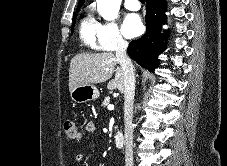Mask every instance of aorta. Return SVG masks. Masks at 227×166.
Here are the masks:
<instances>
[{
  "mask_svg": "<svg viewBox=\"0 0 227 166\" xmlns=\"http://www.w3.org/2000/svg\"><path fill=\"white\" fill-rule=\"evenodd\" d=\"M99 14L107 21L117 18L121 0H96Z\"/></svg>",
  "mask_w": 227,
  "mask_h": 166,
  "instance_id": "762f6f07",
  "label": "aorta"
}]
</instances>
